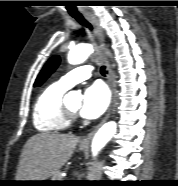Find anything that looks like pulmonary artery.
I'll return each mask as SVG.
<instances>
[{
    "label": "pulmonary artery",
    "mask_w": 178,
    "mask_h": 186,
    "mask_svg": "<svg viewBox=\"0 0 178 186\" xmlns=\"http://www.w3.org/2000/svg\"><path fill=\"white\" fill-rule=\"evenodd\" d=\"M93 72L91 65H81L74 70L70 71L66 75L62 76L58 81L65 88H71L75 84L88 79Z\"/></svg>",
    "instance_id": "pulmonary-artery-1"
}]
</instances>
